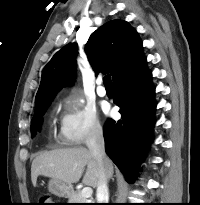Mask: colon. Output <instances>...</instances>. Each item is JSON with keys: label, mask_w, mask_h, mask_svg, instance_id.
<instances>
[{"label": "colon", "mask_w": 200, "mask_h": 205, "mask_svg": "<svg viewBox=\"0 0 200 205\" xmlns=\"http://www.w3.org/2000/svg\"><path fill=\"white\" fill-rule=\"evenodd\" d=\"M38 205H53V198L49 194H42L39 198Z\"/></svg>", "instance_id": "1"}]
</instances>
